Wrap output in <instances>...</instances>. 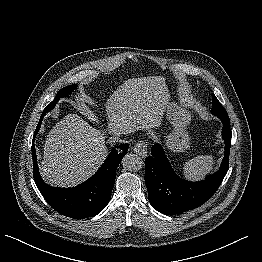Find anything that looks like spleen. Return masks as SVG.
<instances>
[{
    "instance_id": "obj_1",
    "label": "spleen",
    "mask_w": 262,
    "mask_h": 262,
    "mask_svg": "<svg viewBox=\"0 0 262 262\" xmlns=\"http://www.w3.org/2000/svg\"><path fill=\"white\" fill-rule=\"evenodd\" d=\"M213 168L211 155H199L187 161L183 167L184 176L190 180L203 178Z\"/></svg>"
}]
</instances>
